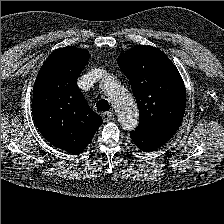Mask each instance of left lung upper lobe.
I'll list each match as a JSON object with an SVG mask.
<instances>
[{"instance_id":"left-lung-upper-lobe-1","label":"left lung upper lobe","mask_w":224,"mask_h":224,"mask_svg":"<svg viewBox=\"0 0 224 224\" xmlns=\"http://www.w3.org/2000/svg\"><path fill=\"white\" fill-rule=\"evenodd\" d=\"M118 65L130 81L139 109L135 131L165 144L181 125L186 106L177 68L161 50L145 45L121 54Z\"/></svg>"}]
</instances>
